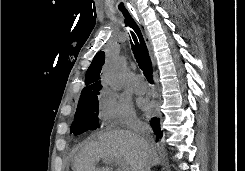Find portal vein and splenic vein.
Wrapping results in <instances>:
<instances>
[{"label": "portal vein and splenic vein", "mask_w": 245, "mask_h": 171, "mask_svg": "<svg viewBox=\"0 0 245 171\" xmlns=\"http://www.w3.org/2000/svg\"><path fill=\"white\" fill-rule=\"evenodd\" d=\"M104 161L108 164L114 163V164L119 165L122 171H130L127 163L124 160H112V161L104 160Z\"/></svg>", "instance_id": "18ae733b"}]
</instances>
